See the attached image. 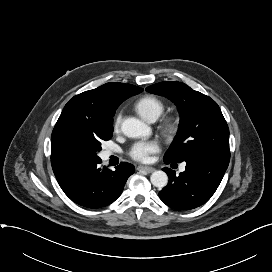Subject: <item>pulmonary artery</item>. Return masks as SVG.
I'll use <instances>...</instances> for the list:
<instances>
[{"mask_svg":"<svg viewBox=\"0 0 272 272\" xmlns=\"http://www.w3.org/2000/svg\"><path fill=\"white\" fill-rule=\"evenodd\" d=\"M111 154H112V152L109 151V150H107V151L104 152L105 158H108ZM180 170H181V171H184V170H185V165H182V166L180 167Z\"/></svg>","mask_w":272,"mask_h":272,"instance_id":"obj_1","label":"pulmonary artery"}]
</instances>
